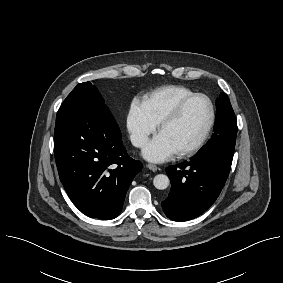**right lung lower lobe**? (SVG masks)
Returning <instances> with one entry per match:
<instances>
[{
  "label": "right lung lower lobe",
  "mask_w": 283,
  "mask_h": 283,
  "mask_svg": "<svg viewBox=\"0 0 283 283\" xmlns=\"http://www.w3.org/2000/svg\"><path fill=\"white\" fill-rule=\"evenodd\" d=\"M54 154L60 180L85 215L113 219L142 164L129 157L108 108L83 110L56 121Z\"/></svg>",
  "instance_id": "obj_1"
}]
</instances>
